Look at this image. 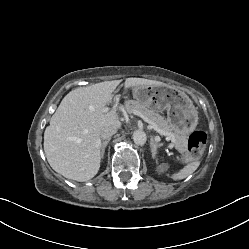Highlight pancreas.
<instances>
[{
	"mask_svg": "<svg viewBox=\"0 0 249 249\" xmlns=\"http://www.w3.org/2000/svg\"><path fill=\"white\" fill-rule=\"evenodd\" d=\"M125 109L128 113H133L134 111H139L146 117H148L151 121H153L157 127L171 135L174 136L175 143L174 146L180 152H184L187 147V135L177 129L176 127L169 124V122L164 119L163 116L149 109L145 105L140 104L135 100H128L125 102Z\"/></svg>",
	"mask_w": 249,
	"mask_h": 249,
	"instance_id": "cf45deb5",
	"label": "pancreas"
}]
</instances>
